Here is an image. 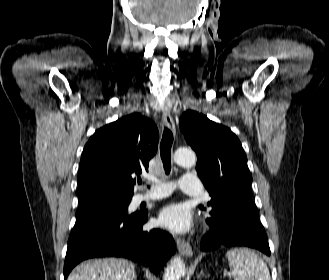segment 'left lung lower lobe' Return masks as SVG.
Listing matches in <instances>:
<instances>
[{
    "label": "left lung lower lobe",
    "instance_id": "0a47b994",
    "mask_svg": "<svg viewBox=\"0 0 329 280\" xmlns=\"http://www.w3.org/2000/svg\"><path fill=\"white\" fill-rule=\"evenodd\" d=\"M210 230L202 239L203 251L214 250L220 245L248 246L270 255L267 235L258 219V209L251 196L238 200L228 210L218 233L211 227Z\"/></svg>",
    "mask_w": 329,
    "mask_h": 280
}]
</instances>
